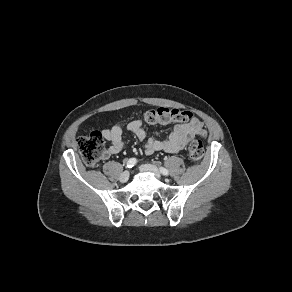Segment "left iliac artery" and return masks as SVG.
<instances>
[{"label": "left iliac artery", "mask_w": 292, "mask_h": 292, "mask_svg": "<svg viewBox=\"0 0 292 292\" xmlns=\"http://www.w3.org/2000/svg\"><path fill=\"white\" fill-rule=\"evenodd\" d=\"M159 170L163 175L167 176L169 174V171L164 167H160Z\"/></svg>", "instance_id": "obj_1"}]
</instances>
